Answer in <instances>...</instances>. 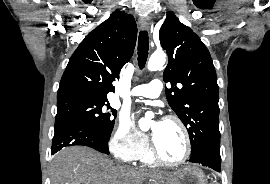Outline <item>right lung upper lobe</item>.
Segmentation results:
<instances>
[{"label": "right lung upper lobe", "instance_id": "right-lung-upper-lobe-1", "mask_svg": "<svg viewBox=\"0 0 270 184\" xmlns=\"http://www.w3.org/2000/svg\"><path fill=\"white\" fill-rule=\"evenodd\" d=\"M137 37L134 17L120 10L91 31L75 50L61 78L57 98L90 96L107 100L112 82L133 55Z\"/></svg>", "mask_w": 270, "mask_h": 184}]
</instances>
